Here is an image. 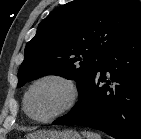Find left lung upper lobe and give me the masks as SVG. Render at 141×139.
<instances>
[{"mask_svg":"<svg viewBox=\"0 0 141 139\" xmlns=\"http://www.w3.org/2000/svg\"><path fill=\"white\" fill-rule=\"evenodd\" d=\"M141 27L138 0H75L51 12L26 44L18 87L44 75L75 79L80 95L106 54Z\"/></svg>","mask_w":141,"mask_h":139,"instance_id":"5c2ea615","label":"left lung upper lobe"}]
</instances>
